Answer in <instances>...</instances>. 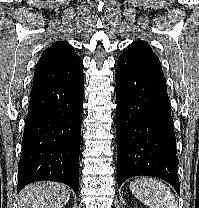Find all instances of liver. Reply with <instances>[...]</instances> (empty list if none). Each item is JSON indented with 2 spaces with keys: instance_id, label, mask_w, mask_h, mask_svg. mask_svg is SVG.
<instances>
[{
  "instance_id": "6515ba94",
  "label": "liver",
  "mask_w": 199,
  "mask_h": 208,
  "mask_svg": "<svg viewBox=\"0 0 199 208\" xmlns=\"http://www.w3.org/2000/svg\"><path fill=\"white\" fill-rule=\"evenodd\" d=\"M70 198L69 188L58 182L27 185L19 195V208H62Z\"/></svg>"
}]
</instances>
